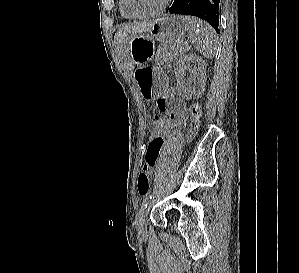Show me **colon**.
<instances>
[{
	"label": "colon",
	"mask_w": 299,
	"mask_h": 273,
	"mask_svg": "<svg viewBox=\"0 0 299 273\" xmlns=\"http://www.w3.org/2000/svg\"><path fill=\"white\" fill-rule=\"evenodd\" d=\"M191 115L194 119H198L200 117V107L197 104L192 106ZM168 126V117L156 114L150 126L149 139H155L165 134ZM137 190L141 196H146L150 191V178L144 171H142L137 178Z\"/></svg>",
	"instance_id": "1"
}]
</instances>
